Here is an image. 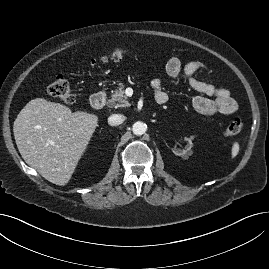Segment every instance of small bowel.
Returning a JSON list of instances; mask_svg holds the SVG:
<instances>
[{
  "mask_svg": "<svg viewBox=\"0 0 269 269\" xmlns=\"http://www.w3.org/2000/svg\"><path fill=\"white\" fill-rule=\"evenodd\" d=\"M165 68L166 73L172 79H177L184 75L190 87L201 94L195 96L192 101V105L197 112L210 116L215 113L232 115L237 111V103L228 90L218 88L195 77V74L204 68L202 63L198 61L182 63L179 58L172 57L166 62ZM151 85L156 101L160 98L166 100L167 95L162 89L161 81L155 79Z\"/></svg>",
  "mask_w": 269,
  "mask_h": 269,
  "instance_id": "1",
  "label": "small bowel"
}]
</instances>
